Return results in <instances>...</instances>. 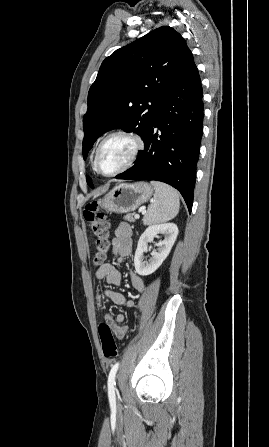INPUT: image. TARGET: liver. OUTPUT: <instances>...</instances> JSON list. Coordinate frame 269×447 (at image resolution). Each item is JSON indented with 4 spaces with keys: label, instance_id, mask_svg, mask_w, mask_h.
<instances>
[{
    "label": "liver",
    "instance_id": "liver-1",
    "mask_svg": "<svg viewBox=\"0 0 269 447\" xmlns=\"http://www.w3.org/2000/svg\"><path fill=\"white\" fill-rule=\"evenodd\" d=\"M96 196H99V194H94V198H96Z\"/></svg>",
    "mask_w": 269,
    "mask_h": 447
}]
</instances>
